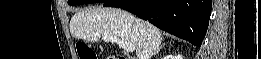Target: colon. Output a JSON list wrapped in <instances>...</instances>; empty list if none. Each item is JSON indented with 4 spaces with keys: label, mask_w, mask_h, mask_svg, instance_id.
<instances>
[{
    "label": "colon",
    "mask_w": 261,
    "mask_h": 59,
    "mask_svg": "<svg viewBox=\"0 0 261 59\" xmlns=\"http://www.w3.org/2000/svg\"><path fill=\"white\" fill-rule=\"evenodd\" d=\"M77 53L80 59H97L95 51L85 43L77 45Z\"/></svg>",
    "instance_id": "colon-1"
}]
</instances>
